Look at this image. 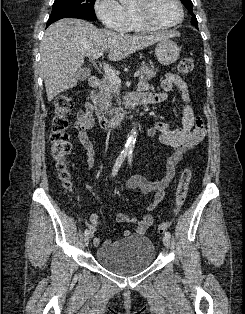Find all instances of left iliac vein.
<instances>
[{
  "instance_id": "1",
  "label": "left iliac vein",
  "mask_w": 245,
  "mask_h": 314,
  "mask_svg": "<svg viewBox=\"0 0 245 314\" xmlns=\"http://www.w3.org/2000/svg\"><path fill=\"white\" fill-rule=\"evenodd\" d=\"M163 244L165 245V247L169 248L170 246V238L167 236L163 237Z\"/></svg>"
}]
</instances>
